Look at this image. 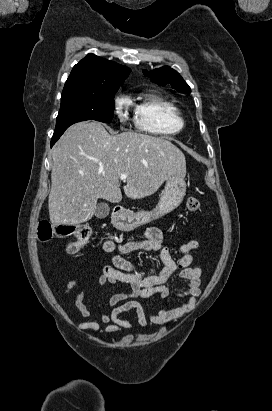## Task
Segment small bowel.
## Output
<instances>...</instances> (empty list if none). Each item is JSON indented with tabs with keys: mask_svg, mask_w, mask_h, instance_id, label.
I'll return each mask as SVG.
<instances>
[{
	"mask_svg": "<svg viewBox=\"0 0 272 411\" xmlns=\"http://www.w3.org/2000/svg\"><path fill=\"white\" fill-rule=\"evenodd\" d=\"M199 248L197 240L180 243L175 247H169L163 242V233L157 227H149L144 232L142 240H131L124 243H116L107 240L103 243V249L107 253L113 254L112 265L103 268L101 276L96 284L103 286L106 284H125L130 290L113 294L108 305L112 309L110 313L101 311L100 321L106 324L104 332L107 334L118 333L123 330H131L133 324L122 315L134 312L137 324L141 328L149 324L157 326L175 321L185 313L195 308L196 301L201 295L202 269L194 263L192 251ZM137 251L158 252L162 268L158 273L145 274L140 271L136 264L126 259L124 256ZM173 252L179 254L175 259ZM177 274V278L185 281L183 290L175 293V296L184 298L186 301L170 308L157 307L154 312L147 315L142 306L136 301L137 298H151L159 296L163 299L172 294L170 280ZM79 281V275L69 280L65 286L64 293L69 294ZM86 287L76 295L74 304L82 317L88 319L77 323L80 330L98 332L101 324L98 321L89 320L91 311L84 303Z\"/></svg>",
	"mask_w": 272,
	"mask_h": 411,
	"instance_id": "c3829d8e",
	"label": "small bowel"
}]
</instances>
